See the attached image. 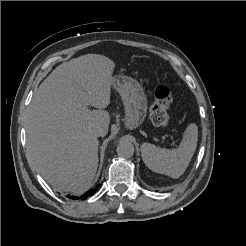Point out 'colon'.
Segmentation results:
<instances>
[{
    "label": "colon",
    "instance_id": "5ec220e1",
    "mask_svg": "<svg viewBox=\"0 0 246 246\" xmlns=\"http://www.w3.org/2000/svg\"><path fill=\"white\" fill-rule=\"evenodd\" d=\"M173 93L167 86H159L155 91V101L150 109V118L154 125L164 127L169 123L168 109L173 103Z\"/></svg>",
    "mask_w": 246,
    "mask_h": 246
}]
</instances>
